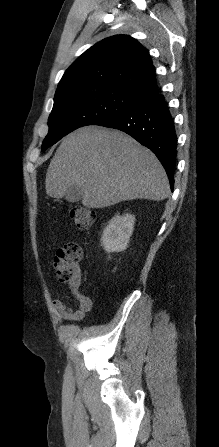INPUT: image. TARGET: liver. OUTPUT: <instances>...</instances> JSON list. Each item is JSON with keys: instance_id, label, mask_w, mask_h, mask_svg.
Segmentation results:
<instances>
[{"instance_id": "6515ba94", "label": "liver", "mask_w": 219, "mask_h": 447, "mask_svg": "<svg viewBox=\"0 0 219 447\" xmlns=\"http://www.w3.org/2000/svg\"><path fill=\"white\" fill-rule=\"evenodd\" d=\"M82 189V204L104 208L125 200L160 201L170 194L157 157L132 137L97 126L77 129L63 138L47 170L48 196L60 199Z\"/></svg>"}]
</instances>
